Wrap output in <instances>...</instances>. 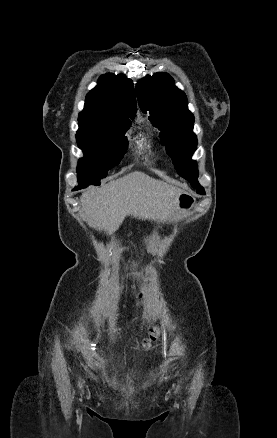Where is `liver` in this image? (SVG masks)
<instances>
[{
	"label": "liver",
	"mask_w": 277,
	"mask_h": 438,
	"mask_svg": "<svg viewBox=\"0 0 277 438\" xmlns=\"http://www.w3.org/2000/svg\"><path fill=\"white\" fill-rule=\"evenodd\" d=\"M182 192L180 188L153 180L143 172H132L102 188H89L83 192L82 210L93 228L111 236L126 216L166 222L174 204L173 198Z\"/></svg>",
	"instance_id": "liver-1"
}]
</instances>
